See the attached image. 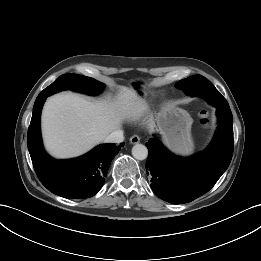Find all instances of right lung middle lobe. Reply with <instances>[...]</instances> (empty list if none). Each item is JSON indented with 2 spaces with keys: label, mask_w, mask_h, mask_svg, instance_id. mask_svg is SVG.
Segmentation results:
<instances>
[{
  "label": "right lung middle lobe",
  "mask_w": 261,
  "mask_h": 261,
  "mask_svg": "<svg viewBox=\"0 0 261 261\" xmlns=\"http://www.w3.org/2000/svg\"><path fill=\"white\" fill-rule=\"evenodd\" d=\"M57 88L61 90L71 89L74 91L95 95L102 91L104 84L89 77H85L77 74H64L57 78L51 85L45 88L42 92L52 95L57 91Z\"/></svg>",
  "instance_id": "right-lung-middle-lobe-1"
}]
</instances>
